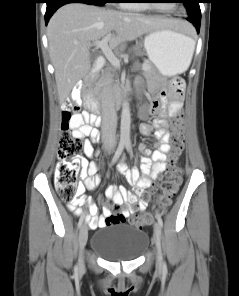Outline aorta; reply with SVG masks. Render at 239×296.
<instances>
[{
	"instance_id": "762f6f07",
	"label": "aorta",
	"mask_w": 239,
	"mask_h": 296,
	"mask_svg": "<svg viewBox=\"0 0 239 296\" xmlns=\"http://www.w3.org/2000/svg\"><path fill=\"white\" fill-rule=\"evenodd\" d=\"M130 124H131V116L128 102L123 103L122 113H121V140H127L130 137Z\"/></svg>"
}]
</instances>
